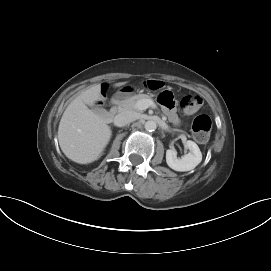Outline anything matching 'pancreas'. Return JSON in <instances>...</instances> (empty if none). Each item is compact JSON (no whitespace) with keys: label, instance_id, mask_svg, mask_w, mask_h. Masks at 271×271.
Listing matches in <instances>:
<instances>
[{"label":"pancreas","instance_id":"pancreas-1","mask_svg":"<svg viewBox=\"0 0 271 271\" xmlns=\"http://www.w3.org/2000/svg\"><path fill=\"white\" fill-rule=\"evenodd\" d=\"M140 100H151V97L146 94H138L131 96L125 100H123L118 109L119 111H138L139 109L136 107V104Z\"/></svg>","mask_w":271,"mask_h":271}]
</instances>
